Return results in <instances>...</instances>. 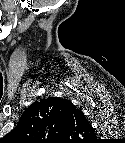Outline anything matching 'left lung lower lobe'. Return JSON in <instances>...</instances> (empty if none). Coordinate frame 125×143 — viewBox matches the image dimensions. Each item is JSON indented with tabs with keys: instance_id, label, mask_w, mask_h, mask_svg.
Returning <instances> with one entry per match:
<instances>
[{
	"instance_id": "left-lung-lower-lobe-1",
	"label": "left lung lower lobe",
	"mask_w": 125,
	"mask_h": 143,
	"mask_svg": "<svg viewBox=\"0 0 125 143\" xmlns=\"http://www.w3.org/2000/svg\"><path fill=\"white\" fill-rule=\"evenodd\" d=\"M84 117L83 113L76 109V107L69 102L66 106V123L67 125H71L73 121H77V119H82Z\"/></svg>"
}]
</instances>
